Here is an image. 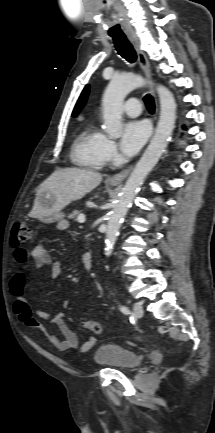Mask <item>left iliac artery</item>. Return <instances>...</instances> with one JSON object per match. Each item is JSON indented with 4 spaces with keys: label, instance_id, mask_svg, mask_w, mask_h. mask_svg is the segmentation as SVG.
<instances>
[{
    "label": "left iliac artery",
    "instance_id": "left-iliac-artery-1",
    "mask_svg": "<svg viewBox=\"0 0 215 433\" xmlns=\"http://www.w3.org/2000/svg\"><path fill=\"white\" fill-rule=\"evenodd\" d=\"M121 311L124 313V314H129V309H128V307H126V306H121Z\"/></svg>",
    "mask_w": 215,
    "mask_h": 433
}]
</instances>
